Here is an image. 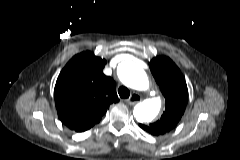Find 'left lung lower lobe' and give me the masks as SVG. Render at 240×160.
<instances>
[{"label":"left lung lower lobe","mask_w":240,"mask_h":160,"mask_svg":"<svg viewBox=\"0 0 240 160\" xmlns=\"http://www.w3.org/2000/svg\"><path fill=\"white\" fill-rule=\"evenodd\" d=\"M144 130H146L147 132L153 134L147 127H144ZM153 135H155V134H153Z\"/></svg>","instance_id":"obj_1"}]
</instances>
